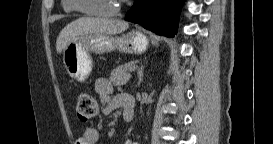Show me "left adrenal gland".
<instances>
[{"mask_svg":"<svg viewBox=\"0 0 273 144\" xmlns=\"http://www.w3.org/2000/svg\"><path fill=\"white\" fill-rule=\"evenodd\" d=\"M143 70H144V67L141 66V67L138 69V72H137L138 79H139V81H138L139 84L142 83V81H143Z\"/></svg>","mask_w":273,"mask_h":144,"instance_id":"1","label":"left adrenal gland"}]
</instances>
